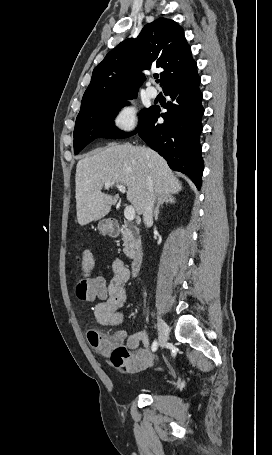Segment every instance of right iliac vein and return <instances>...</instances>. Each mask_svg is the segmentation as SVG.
<instances>
[{
    "label": "right iliac vein",
    "instance_id": "obj_1",
    "mask_svg": "<svg viewBox=\"0 0 272 455\" xmlns=\"http://www.w3.org/2000/svg\"><path fill=\"white\" fill-rule=\"evenodd\" d=\"M158 338H159V345L163 348L168 339V326L166 322L162 318H158Z\"/></svg>",
    "mask_w": 272,
    "mask_h": 455
}]
</instances>
